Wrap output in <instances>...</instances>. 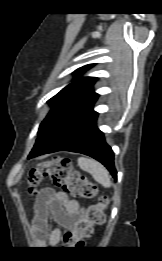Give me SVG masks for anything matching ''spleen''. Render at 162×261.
Returning <instances> with one entry per match:
<instances>
[{"label":"spleen","mask_w":162,"mask_h":261,"mask_svg":"<svg viewBox=\"0 0 162 261\" xmlns=\"http://www.w3.org/2000/svg\"><path fill=\"white\" fill-rule=\"evenodd\" d=\"M78 165L82 170L90 173L102 186L111 187L109 172L102 164L90 158L80 157L78 158Z\"/></svg>","instance_id":"obj_1"}]
</instances>
